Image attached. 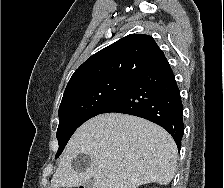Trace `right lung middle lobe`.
<instances>
[{"mask_svg": "<svg viewBox=\"0 0 224 188\" xmlns=\"http://www.w3.org/2000/svg\"><path fill=\"white\" fill-rule=\"evenodd\" d=\"M134 79L105 78L75 84L65 89L59 107L57 139L62 153L74 131L88 119L98 115L111 101L126 90Z\"/></svg>", "mask_w": 224, "mask_h": 188, "instance_id": "right-lung-middle-lobe-1", "label": "right lung middle lobe"}]
</instances>
